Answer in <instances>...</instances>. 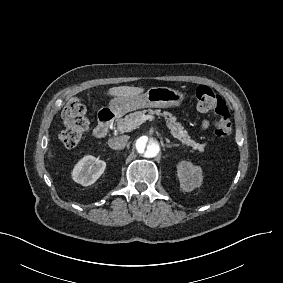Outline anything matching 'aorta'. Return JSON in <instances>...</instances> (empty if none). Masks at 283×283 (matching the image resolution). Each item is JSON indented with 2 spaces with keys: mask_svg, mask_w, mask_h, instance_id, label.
Wrapping results in <instances>:
<instances>
[{
  "mask_svg": "<svg viewBox=\"0 0 283 283\" xmlns=\"http://www.w3.org/2000/svg\"><path fill=\"white\" fill-rule=\"evenodd\" d=\"M162 142L159 135L143 133L138 136L133 144L135 155L139 161L151 162L158 160L161 155Z\"/></svg>",
  "mask_w": 283,
  "mask_h": 283,
  "instance_id": "aorta-1",
  "label": "aorta"
}]
</instances>
